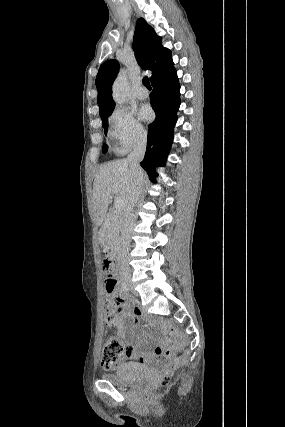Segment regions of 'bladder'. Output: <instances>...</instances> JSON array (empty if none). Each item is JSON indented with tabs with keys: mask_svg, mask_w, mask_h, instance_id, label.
Returning a JSON list of instances; mask_svg holds the SVG:
<instances>
[{
	"mask_svg": "<svg viewBox=\"0 0 285 427\" xmlns=\"http://www.w3.org/2000/svg\"><path fill=\"white\" fill-rule=\"evenodd\" d=\"M152 376V371L137 363H121L112 372H104L101 378L112 384L131 386L140 384Z\"/></svg>",
	"mask_w": 285,
	"mask_h": 427,
	"instance_id": "31cf9c89",
	"label": "bladder"
}]
</instances>
